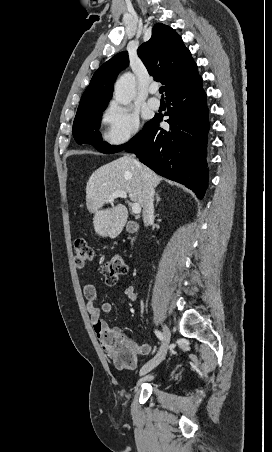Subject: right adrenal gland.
I'll return each instance as SVG.
<instances>
[{"instance_id": "1", "label": "right adrenal gland", "mask_w": 272, "mask_h": 452, "mask_svg": "<svg viewBox=\"0 0 272 452\" xmlns=\"http://www.w3.org/2000/svg\"><path fill=\"white\" fill-rule=\"evenodd\" d=\"M155 195H156V204H155V206L157 207V205H158V203L160 202L161 198H160L158 192H156Z\"/></svg>"}]
</instances>
